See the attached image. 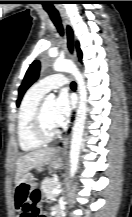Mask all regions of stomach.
<instances>
[{"label": "stomach", "instance_id": "obj_1", "mask_svg": "<svg viewBox=\"0 0 132 217\" xmlns=\"http://www.w3.org/2000/svg\"><path fill=\"white\" fill-rule=\"evenodd\" d=\"M65 164L64 158L60 154H56L52 161L49 163L50 167L53 169H61ZM39 171H42V168H38ZM28 187L32 191L36 187L34 182L33 175L28 172L24 174L19 183L16 185V188Z\"/></svg>", "mask_w": 132, "mask_h": 217}]
</instances>
